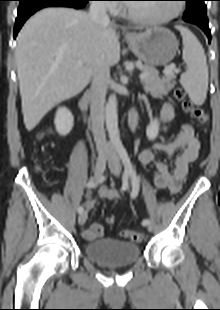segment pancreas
<instances>
[{"label":"pancreas","mask_w":220,"mask_h":310,"mask_svg":"<svg viewBox=\"0 0 220 310\" xmlns=\"http://www.w3.org/2000/svg\"><path fill=\"white\" fill-rule=\"evenodd\" d=\"M144 73L147 74V78L142 80L144 90L154 98L166 96L175 86L176 73L174 71L165 72L163 77H159V72L154 67L145 66Z\"/></svg>","instance_id":"1"}]
</instances>
